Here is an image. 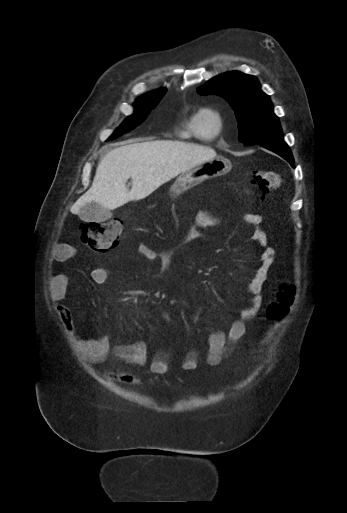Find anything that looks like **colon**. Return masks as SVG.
Listing matches in <instances>:
<instances>
[{"instance_id":"obj_1","label":"colon","mask_w":347,"mask_h":513,"mask_svg":"<svg viewBox=\"0 0 347 513\" xmlns=\"http://www.w3.org/2000/svg\"><path fill=\"white\" fill-rule=\"evenodd\" d=\"M249 185L258 191L262 198L280 185V175L271 170H257L252 173ZM123 224L119 219L105 222H89L80 226V236L84 243L97 253H107L120 242ZM296 297L294 285H281L277 291L276 300L268 308L271 318L281 319L287 315Z\"/></svg>"}]
</instances>
